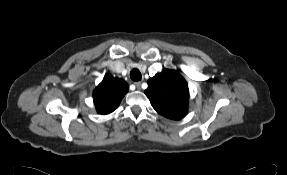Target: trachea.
<instances>
[{"mask_svg":"<svg viewBox=\"0 0 287 175\" xmlns=\"http://www.w3.org/2000/svg\"><path fill=\"white\" fill-rule=\"evenodd\" d=\"M130 78L133 80V81H140L141 80V73L138 69H133L131 72H130Z\"/></svg>","mask_w":287,"mask_h":175,"instance_id":"trachea-1","label":"trachea"}]
</instances>
